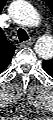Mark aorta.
I'll list each match as a JSON object with an SVG mask.
<instances>
[{
  "instance_id": "aorta-1",
  "label": "aorta",
  "mask_w": 53,
  "mask_h": 120,
  "mask_svg": "<svg viewBox=\"0 0 53 120\" xmlns=\"http://www.w3.org/2000/svg\"><path fill=\"white\" fill-rule=\"evenodd\" d=\"M20 12H21L23 18L27 22L28 21H33V23L34 22H38V19H37L36 15H35L34 11L30 7H27V6L26 7H22ZM34 19L37 20V21H34ZM38 52H40V51H38Z\"/></svg>"
}]
</instances>
